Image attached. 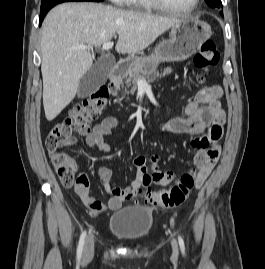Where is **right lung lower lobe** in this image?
I'll list each match as a JSON object with an SVG mask.
<instances>
[{"instance_id":"98d812e1","label":"right lung lower lobe","mask_w":265,"mask_h":269,"mask_svg":"<svg viewBox=\"0 0 265 269\" xmlns=\"http://www.w3.org/2000/svg\"><path fill=\"white\" fill-rule=\"evenodd\" d=\"M81 2V1H90V2H101L102 0H42L41 8H40V21L39 25L42 24V21L47 14V12L54 7L55 5L63 2Z\"/></svg>"}]
</instances>
